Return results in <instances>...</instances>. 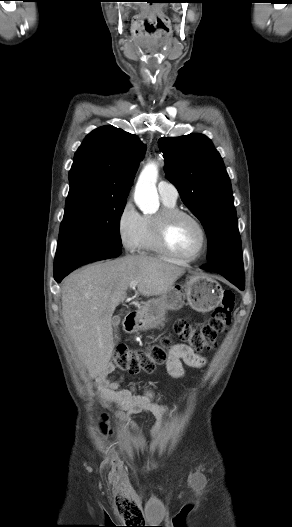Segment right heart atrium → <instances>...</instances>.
<instances>
[{
  "instance_id": "right-heart-atrium-1",
  "label": "right heart atrium",
  "mask_w": 292,
  "mask_h": 527,
  "mask_svg": "<svg viewBox=\"0 0 292 527\" xmlns=\"http://www.w3.org/2000/svg\"><path fill=\"white\" fill-rule=\"evenodd\" d=\"M141 222L142 216L132 200H126L118 213L116 230L121 245L127 251H134L137 247Z\"/></svg>"
}]
</instances>
